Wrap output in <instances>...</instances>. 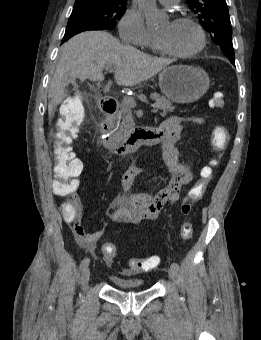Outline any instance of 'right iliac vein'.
I'll return each mask as SVG.
<instances>
[{
    "label": "right iliac vein",
    "instance_id": "1",
    "mask_svg": "<svg viewBox=\"0 0 261 340\" xmlns=\"http://www.w3.org/2000/svg\"><path fill=\"white\" fill-rule=\"evenodd\" d=\"M89 277H90V269L88 267H86L83 270V274H82V287L84 290L87 289V285H88V281H89Z\"/></svg>",
    "mask_w": 261,
    "mask_h": 340
}]
</instances>
